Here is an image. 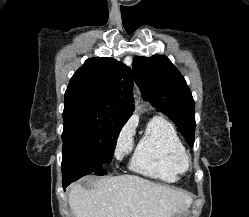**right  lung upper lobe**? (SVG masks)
<instances>
[{
    "instance_id": "right-lung-upper-lobe-1",
    "label": "right lung upper lobe",
    "mask_w": 249,
    "mask_h": 217,
    "mask_svg": "<svg viewBox=\"0 0 249 217\" xmlns=\"http://www.w3.org/2000/svg\"><path fill=\"white\" fill-rule=\"evenodd\" d=\"M132 73L113 58H90L73 75L65 101H84L116 112L127 119L134 110Z\"/></svg>"
}]
</instances>
